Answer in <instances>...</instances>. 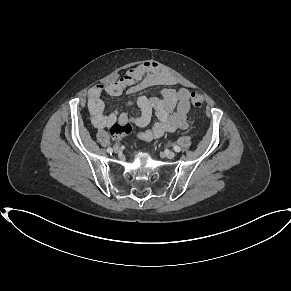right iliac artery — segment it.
I'll list each match as a JSON object with an SVG mask.
<instances>
[{
	"mask_svg": "<svg viewBox=\"0 0 291 291\" xmlns=\"http://www.w3.org/2000/svg\"><path fill=\"white\" fill-rule=\"evenodd\" d=\"M107 152L110 153V154H112L113 149H112V148H108V149H107Z\"/></svg>",
	"mask_w": 291,
	"mask_h": 291,
	"instance_id": "82829eb1",
	"label": "right iliac artery"
}]
</instances>
